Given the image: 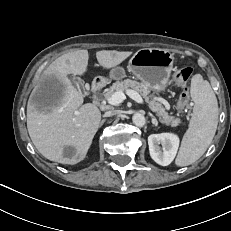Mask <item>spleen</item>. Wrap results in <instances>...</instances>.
I'll list each match as a JSON object with an SVG mask.
<instances>
[{"instance_id":"3e777b00","label":"spleen","mask_w":231,"mask_h":231,"mask_svg":"<svg viewBox=\"0 0 231 231\" xmlns=\"http://www.w3.org/2000/svg\"><path fill=\"white\" fill-rule=\"evenodd\" d=\"M191 97L194 101L192 118L175 160L180 167L194 163L205 153L218 125L217 98L209 82L200 74L192 78Z\"/></svg>"}]
</instances>
